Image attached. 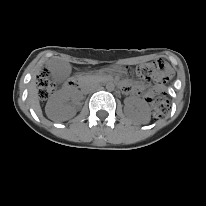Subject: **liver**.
Listing matches in <instances>:
<instances>
[{
  "label": "liver",
  "instance_id": "1",
  "mask_svg": "<svg viewBox=\"0 0 206 206\" xmlns=\"http://www.w3.org/2000/svg\"><path fill=\"white\" fill-rule=\"evenodd\" d=\"M28 102L30 103L31 107L34 109L36 114L41 117L42 110L40 107L38 89H37L35 78L31 80L30 85H29ZM73 115L74 114H70L67 111L59 112L58 114H53V115L47 113V116L51 120L56 121V122L66 121V120L70 119L71 117H73Z\"/></svg>",
  "mask_w": 206,
  "mask_h": 206
}]
</instances>
